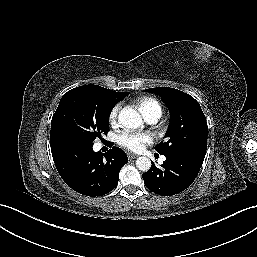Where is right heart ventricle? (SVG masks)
Returning a JSON list of instances; mask_svg holds the SVG:
<instances>
[{"mask_svg": "<svg viewBox=\"0 0 257 257\" xmlns=\"http://www.w3.org/2000/svg\"><path fill=\"white\" fill-rule=\"evenodd\" d=\"M135 105L138 107L144 118L147 120L153 117L159 118L162 115V105L156 97H140L135 101Z\"/></svg>", "mask_w": 257, "mask_h": 257, "instance_id": "right-heart-ventricle-1", "label": "right heart ventricle"}]
</instances>
